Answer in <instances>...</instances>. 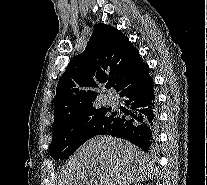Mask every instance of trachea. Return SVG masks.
Instances as JSON below:
<instances>
[{
  "instance_id": "obj_1",
  "label": "trachea",
  "mask_w": 207,
  "mask_h": 185,
  "mask_svg": "<svg viewBox=\"0 0 207 185\" xmlns=\"http://www.w3.org/2000/svg\"><path fill=\"white\" fill-rule=\"evenodd\" d=\"M112 86H113L112 84H109V85H108V88H111Z\"/></svg>"
}]
</instances>
